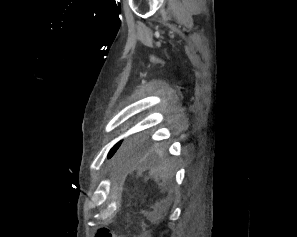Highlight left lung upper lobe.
<instances>
[{"label": "left lung upper lobe", "instance_id": "1", "mask_svg": "<svg viewBox=\"0 0 297 237\" xmlns=\"http://www.w3.org/2000/svg\"><path fill=\"white\" fill-rule=\"evenodd\" d=\"M143 142L139 139L131 140L122 145V140L114 145L113 148L108 153V158H111L117 151L121 155H125L128 157L138 156L143 152Z\"/></svg>", "mask_w": 297, "mask_h": 237}]
</instances>
